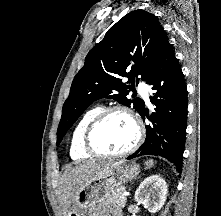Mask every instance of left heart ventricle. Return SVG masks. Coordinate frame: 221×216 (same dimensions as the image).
<instances>
[{
	"label": "left heart ventricle",
	"instance_id": "b2bd125f",
	"mask_svg": "<svg viewBox=\"0 0 221 216\" xmlns=\"http://www.w3.org/2000/svg\"><path fill=\"white\" fill-rule=\"evenodd\" d=\"M135 134L134 124L127 115L112 113L94 131L93 144L104 152H121L133 143Z\"/></svg>",
	"mask_w": 221,
	"mask_h": 216
}]
</instances>
